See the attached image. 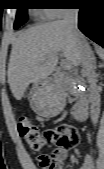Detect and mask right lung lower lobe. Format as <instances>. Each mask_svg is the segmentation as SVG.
<instances>
[{
	"label": "right lung lower lobe",
	"mask_w": 104,
	"mask_h": 169,
	"mask_svg": "<svg viewBox=\"0 0 104 169\" xmlns=\"http://www.w3.org/2000/svg\"><path fill=\"white\" fill-rule=\"evenodd\" d=\"M79 29L91 40L104 47L103 0H78Z\"/></svg>",
	"instance_id": "right-lung-lower-lobe-1"
}]
</instances>
